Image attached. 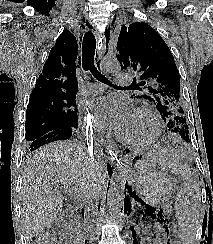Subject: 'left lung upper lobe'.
Segmentation results:
<instances>
[{
  "instance_id": "left-lung-upper-lobe-1",
  "label": "left lung upper lobe",
  "mask_w": 213,
  "mask_h": 244,
  "mask_svg": "<svg viewBox=\"0 0 213 244\" xmlns=\"http://www.w3.org/2000/svg\"><path fill=\"white\" fill-rule=\"evenodd\" d=\"M117 51L121 69L136 74L131 87L138 93L132 96L152 102L168 131L190 142L183 99L179 94V71L170 49L158 32L143 22L122 26Z\"/></svg>"
}]
</instances>
